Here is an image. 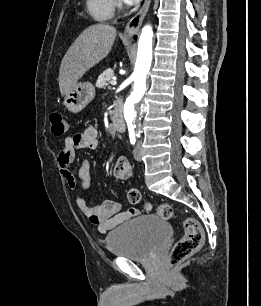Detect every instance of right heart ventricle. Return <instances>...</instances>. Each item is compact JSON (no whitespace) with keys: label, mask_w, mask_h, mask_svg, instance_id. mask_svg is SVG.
I'll return each mask as SVG.
<instances>
[{"label":"right heart ventricle","mask_w":261,"mask_h":306,"mask_svg":"<svg viewBox=\"0 0 261 306\" xmlns=\"http://www.w3.org/2000/svg\"><path fill=\"white\" fill-rule=\"evenodd\" d=\"M89 14L100 22L109 21L114 15V0H86Z\"/></svg>","instance_id":"obj_1"}]
</instances>
